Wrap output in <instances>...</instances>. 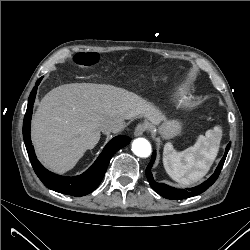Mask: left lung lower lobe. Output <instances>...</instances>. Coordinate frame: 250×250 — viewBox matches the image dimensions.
I'll return each instance as SVG.
<instances>
[{"instance_id": "left-lung-lower-lobe-1", "label": "left lung lower lobe", "mask_w": 250, "mask_h": 250, "mask_svg": "<svg viewBox=\"0 0 250 250\" xmlns=\"http://www.w3.org/2000/svg\"><path fill=\"white\" fill-rule=\"evenodd\" d=\"M230 145H231V142L227 145L226 150H225V154H224L223 158L221 159L219 165L217 166L214 174L207 181L202 183L201 185L196 186L194 188H189L187 190L173 188V187H170L166 184L157 183L154 181L152 173H151V167H152L154 160H155V157H156V153L154 151L153 155H152V159H151L149 165L147 166L146 172H145L147 179L149 181V184L151 185V187L153 188L154 191H156L158 194H160L161 196H163L164 198H167V199L179 200V199H184V198H189V197L199 195V194L203 193L205 190H207L217 180V178L220 174V171L223 167V164L225 162Z\"/></svg>"}]
</instances>
